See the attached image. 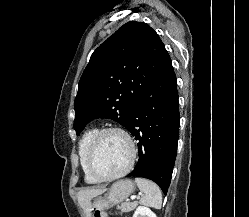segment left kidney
<instances>
[{
    "label": "left kidney",
    "mask_w": 249,
    "mask_h": 217,
    "mask_svg": "<svg viewBox=\"0 0 249 217\" xmlns=\"http://www.w3.org/2000/svg\"><path fill=\"white\" fill-rule=\"evenodd\" d=\"M133 217H157L156 214L148 207L139 206Z\"/></svg>",
    "instance_id": "left-kidney-1"
}]
</instances>
